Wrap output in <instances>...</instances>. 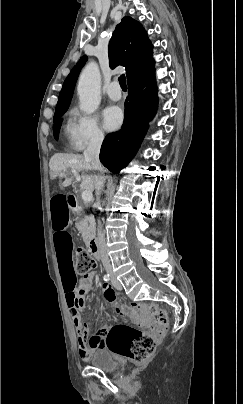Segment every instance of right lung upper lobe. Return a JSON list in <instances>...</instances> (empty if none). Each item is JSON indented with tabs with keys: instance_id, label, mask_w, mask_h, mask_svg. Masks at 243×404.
<instances>
[{
	"instance_id": "cb5924a9",
	"label": "right lung upper lobe",
	"mask_w": 243,
	"mask_h": 404,
	"mask_svg": "<svg viewBox=\"0 0 243 404\" xmlns=\"http://www.w3.org/2000/svg\"><path fill=\"white\" fill-rule=\"evenodd\" d=\"M152 48L153 46L143 26L126 16L117 25L110 40V67L113 69L118 65H123L126 68L127 81L129 82L153 69ZM86 60V57H82L67 76L59 93L55 111L69 107L75 82Z\"/></svg>"
}]
</instances>
